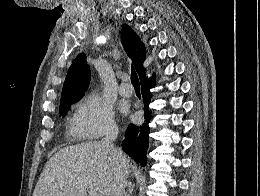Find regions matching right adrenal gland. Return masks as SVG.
<instances>
[{"mask_svg":"<svg viewBox=\"0 0 260 196\" xmlns=\"http://www.w3.org/2000/svg\"><path fill=\"white\" fill-rule=\"evenodd\" d=\"M133 188H134V186H131V184H129V186H128V192H127V194H125V196H132V194H133Z\"/></svg>","mask_w":260,"mask_h":196,"instance_id":"right-adrenal-gland-1","label":"right adrenal gland"}]
</instances>
